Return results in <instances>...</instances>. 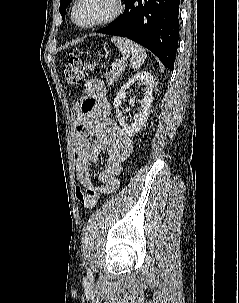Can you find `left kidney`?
<instances>
[{
    "mask_svg": "<svg viewBox=\"0 0 239 303\" xmlns=\"http://www.w3.org/2000/svg\"><path fill=\"white\" fill-rule=\"evenodd\" d=\"M135 83L137 84L141 83L145 85V94H144V98L140 102L141 107L139 109V112L134 117V122L131 125H128L125 122L122 113L119 110V107L121 105L122 100L126 98L125 90ZM153 85H154V79L152 75L146 71H142L134 75L131 79H129L121 87L120 91L118 92V94L114 99L113 105L116 108L118 122L128 136H134L135 134H137L143 128L144 124L147 121L148 111L153 100L152 97ZM133 102L134 100H130V103Z\"/></svg>",
    "mask_w": 239,
    "mask_h": 303,
    "instance_id": "left-kidney-1",
    "label": "left kidney"
}]
</instances>
